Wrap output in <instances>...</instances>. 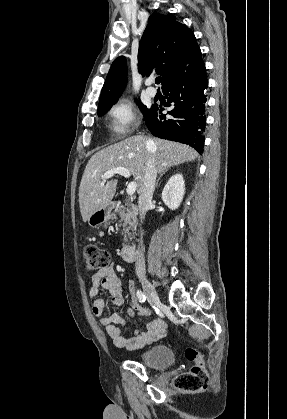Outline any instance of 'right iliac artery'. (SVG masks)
I'll return each mask as SVG.
<instances>
[{
	"instance_id": "1",
	"label": "right iliac artery",
	"mask_w": 287,
	"mask_h": 419,
	"mask_svg": "<svg viewBox=\"0 0 287 419\" xmlns=\"http://www.w3.org/2000/svg\"><path fill=\"white\" fill-rule=\"evenodd\" d=\"M137 298L139 300V302L144 303L146 300V296L144 295V293L141 290H137Z\"/></svg>"
}]
</instances>
